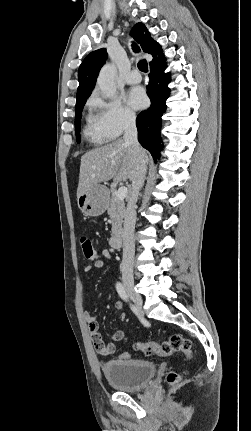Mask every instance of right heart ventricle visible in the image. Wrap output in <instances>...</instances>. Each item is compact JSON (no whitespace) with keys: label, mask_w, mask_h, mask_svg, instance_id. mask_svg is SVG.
<instances>
[{"label":"right heart ventricle","mask_w":251,"mask_h":431,"mask_svg":"<svg viewBox=\"0 0 251 431\" xmlns=\"http://www.w3.org/2000/svg\"><path fill=\"white\" fill-rule=\"evenodd\" d=\"M85 135L93 140L96 141H105L106 138L103 137L102 135H100L98 133V131L96 130L94 123H93V119L92 116H88L87 117V126L85 128Z\"/></svg>","instance_id":"right-heart-ventricle-1"}]
</instances>
